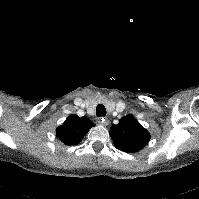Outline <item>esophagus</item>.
I'll list each match as a JSON object with an SVG mask.
<instances>
[{
	"instance_id": "34e87169",
	"label": "esophagus",
	"mask_w": 199,
	"mask_h": 199,
	"mask_svg": "<svg viewBox=\"0 0 199 199\" xmlns=\"http://www.w3.org/2000/svg\"><path fill=\"white\" fill-rule=\"evenodd\" d=\"M98 123L101 124V125H103V126L109 125V121H108V119L105 118V117L100 118V119L98 120Z\"/></svg>"
}]
</instances>
